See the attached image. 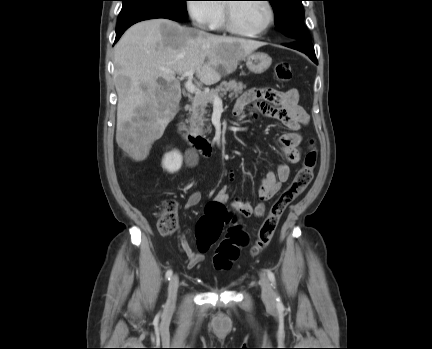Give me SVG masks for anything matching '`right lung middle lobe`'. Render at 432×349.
<instances>
[{"instance_id":"right-lung-middle-lobe-1","label":"right lung middle lobe","mask_w":432,"mask_h":349,"mask_svg":"<svg viewBox=\"0 0 432 349\" xmlns=\"http://www.w3.org/2000/svg\"><path fill=\"white\" fill-rule=\"evenodd\" d=\"M118 23L141 15H160L174 21L187 18V0H121Z\"/></svg>"}]
</instances>
